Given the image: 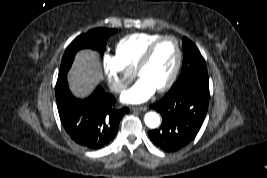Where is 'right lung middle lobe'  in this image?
I'll list each match as a JSON object with an SVG mask.
<instances>
[{
  "instance_id": "dd1d6c3e",
  "label": "right lung middle lobe",
  "mask_w": 267,
  "mask_h": 178,
  "mask_svg": "<svg viewBox=\"0 0 267 178\" xmlns=\"http://www.w3.org/2000/svg\"><path fill=\"white\" fill-rule=\"evenodd\" d=\"M115 32L116 30L113 29L97 28L74 39L63 55L59 75L67 74L76 53L81 49L90 48L98 51L103 56L107 39Z\"/></svg>"
}]
</instances>
